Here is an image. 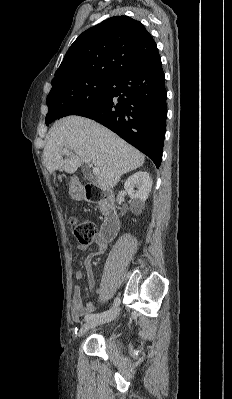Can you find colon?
I'll use <instances>...</instances> for the list:
<instances>
[{"mask_svg": "<svg viewBox=\"0 0 232 399\" xmlns=\"http://www.w3.org/2000/svg\"><path fill=\"white\" fill-rule=\"evenodd\" d=\"M72 236H76L79 244H92L95 227L94 222L73 221V216H68V227H73Z\"/></svg>", "mask_w": 232, "mask_h": 399, "instance_id": "1", "label": "colon"}]
</instances>
